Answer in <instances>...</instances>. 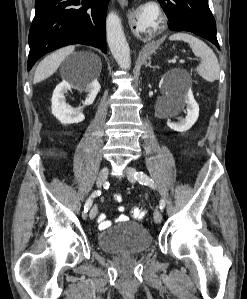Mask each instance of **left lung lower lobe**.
<instances>
[{
    "instance_id": "1",
    "label": "left lung lower lobe",
    "mask_w": 247,
    "mask_h": 299,
    "mask_svg": "<svg viewBox=\"0 0 247 299\" xmlns=\"http://www.w3.org/2000/svg\"><path fill=\"white\" fill-rule=\"evenodd\" d=\"M172 31H189L212 42L218 49L215 19L208 0H158Z\"/></svg>"
}]
</instances>
